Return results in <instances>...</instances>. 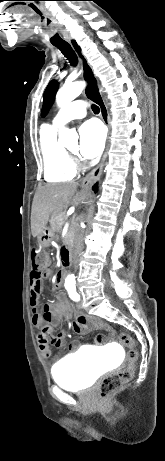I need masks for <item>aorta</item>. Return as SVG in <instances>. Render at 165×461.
Returning a JSON list of instances; mask_svg holds the SVG:
<instances>
[{
  "mask_svg": "<svg viewBox=\"0 0 165 461\" xmlns=\"http://www.w3.org/2000/svg\"><path fill=\"white\" fill-rule=\"evenodd\" d=\"M85 82L78 81L71 84H64L61 89L57 92L56 95V103L59 107H64L68 105L71 101H73L76 97H78L84 87ZM77 134L76 132L69 130L67 128H63L59 132V143L65 147H69L73 142L77 141ZM74 275H69L67 280H74Z\"/></svg>",
  "mask_w": 165,
  "mask_h": 461,
  "instance_id": "1",
  "label": "aorta"
}]
</instances>
